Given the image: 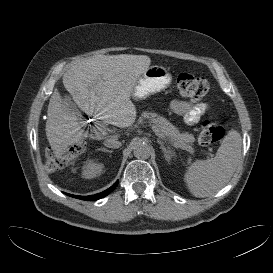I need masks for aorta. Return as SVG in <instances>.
I'll list each match as a JSON object with an SVG mask.
<instances>
[{"mask_svg": "<svg viewBox=\"0 0 273 273\" xmlns=\"http://www.w3.org/2000/svg\"><path fill=\"white\" fill-rule=\"evenodd\" d=\"M133 154L138 159H148L151 155V147L146 143H137L134 146Z\"/></svg>", "mask_w": 273, "mask_h": 273, "instance_id": "aorta-1", "label": "aorta"}]
</instances>
